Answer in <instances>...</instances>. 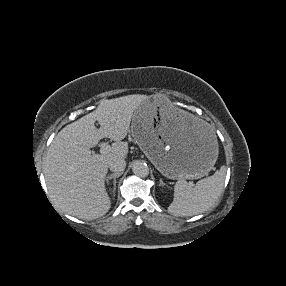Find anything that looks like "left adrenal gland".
I'll list each match as a JSON object with an SVG mask.
<instances>
[{
  "label": "left adrenal gland",
  "instance_id": "left-adrenal-gland-1",
  "mask_svg": "<svg viewBox=\"0 0 286 286\" xmlns=\"http://www.w3.org/2000/svg\"><path fill=\"white\" fill-rule=\"evenodd\" d=\"M159 185H160V186H163V185H165V183H163V181L160 179Z\"/></svg>",
  "mask_w": 286,
  "mask_h": 286
}]
</instances>
